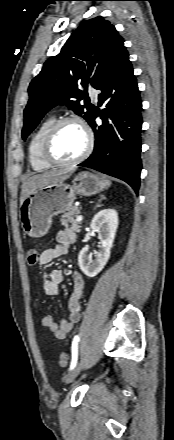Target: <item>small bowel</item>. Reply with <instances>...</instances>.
<instances>
[{
	"mask_svg": "<svg viewBox=\"0 0 174 440\" xmlns=\"http://www.w3.org/2000/svg\"><path fill=\"white\" fill-rule=\"evenodd\" d=\"M57 245L52 248H47L41 252L39 256V264L41 266L48 265L53 260L60 258L67 254L68 248L75 240V234L70 230H61L58 232ZM73 291L68 300V319H61L58 323L54 321L50 315H45L41 319V325L48 328L56 338L64 339L72 332L74 325L80 321L81 318V303L85 281L79 271L72 273ZM63 282V273L60 269H54L44 277L41 281L42 293L47 296H56L59 293V287Z\"/></svg>",
	"mask_w": 174,
	"mask_h": 440,
	"instance_id": "1",
	"label": "small bowel"
}]
</instances>
